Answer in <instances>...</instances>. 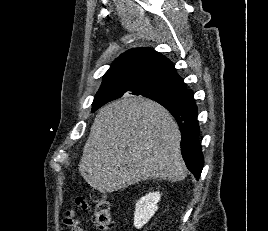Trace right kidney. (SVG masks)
Masks as SVG:
<instances>
[{
    "label": "right kidney",
    "mask_w": 268,
    "mask_h": 231,
    "mask_svg": "<svg viewBox=\"0 0 268 231\" xmlns=\"http://www.w3.org/2000/svg\"><path fill=\"white\" fill-rule=\"evenodd\" d=\"M160 198L161 194L159 192H153L137 201L134 212V226L137 229L142 228L155 214Z\"/></svg>",
    "instance_id": "obj_1"
}]
</instances>
